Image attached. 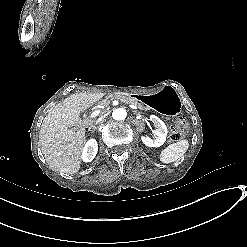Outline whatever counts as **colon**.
Returning <instances> with one entry per match:
<instances>
[{"instance_id":"obj_1","label":"colon","mask_w":247,"mask_h":247,"mask_svg":"<svg viewBox=\"0 0 247 247\" xmlns=\"http://www.w3.org/2000/svg\"><path fill=\"white\" fill-rule=\"evenodd\" d=\"M188 131V124L185 118L178 117L172 123V131L170 135V140L173 143L180 142L183 136Z\"/></svg>"}]
</instances>
